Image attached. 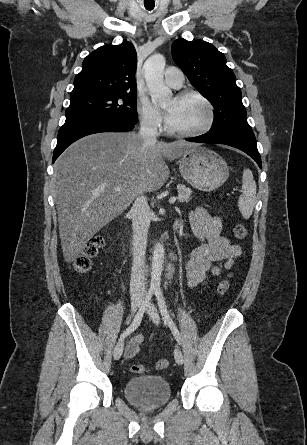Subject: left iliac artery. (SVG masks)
I'll return each instance as SVG.
<instances>
[{"instance_id": "obj_1", "label": "left iliac artery", "mask_w": 307, "mask_h": 445, "mask_svg": "<svg viewBox=\"0 0 307 445\" xmlns=\"http://www.w3.org/2000/svg\"><path fill=\"white\" fill-rule=\"evenodd\" d=\"M155 296H156L158 307H159V310L161 312V315H162L164 323L169 326V328L171 329L175 339L180 344V341H181L180 333H179V331L177 329L176 324L173 322L172 318L169 315V312H168V309H167V306H166L165 299H164V296L162 294V291L160 289H157L155 291Z\"/></svg>"}]
</instances>
